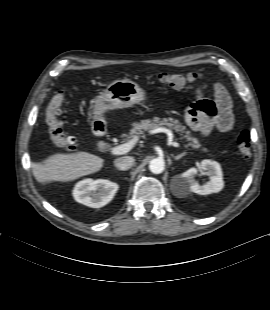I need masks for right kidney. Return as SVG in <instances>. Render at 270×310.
<instances>
[{
    "label": "right kidney",
    "instance_id": "right-kidney-1",
    "mask_svg": "<svg viewBox=\"0 0 270 310\" xmlns=\"http://www.w3.org/2000/svg\"><path fill=\"white\" fill-rule=\"evenodd\" d=\"M118 185L105 179H84L73 190L74 199L86 206L100 208L108 204L118 190Z\"/></svg>",
    "mask_w": 270,
    "mask_h": 310
}]
</instances>
